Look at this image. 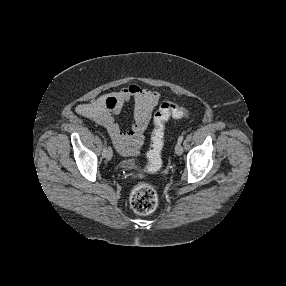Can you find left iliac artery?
I'll use <instances>...</instances> for the list:
<instances>
[{
    "mask_svg": "<svg viewBox=\"0 0 286 286\" xmlns=\"http://www.w3.org/2000/svg\"><path fill=\"white\" fill-rule=\"evenodd\" d=\"M183 139H184V136L181 135V136L178 138V143H182Z\"/></svg>",
    "mask_w": 286,
    "mask_h": 286,
    "instance_id": "obj_1",
    "label": "left iliac artery"
}]
</instances>
